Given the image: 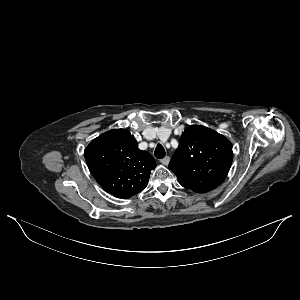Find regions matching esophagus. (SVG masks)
I'll use <instances>...</instances> for the list:
<instances>
[{
    "mask_svg": "<svg viewBox=\"0 0 300 300\" xmlns=\"http://www.w3.org/2000/svg\"><path fill=\"white\" fill-rule=\"evenodd\" d=\"M169 161H170L169 156H166V157L160 159V162L165 166H167L169 164Z\"/></svg>",
    "mask_w": 300,
    "mask_h": 300,
    "instance_id": "1",
    "label": "esophagus"
}]
</instances>
